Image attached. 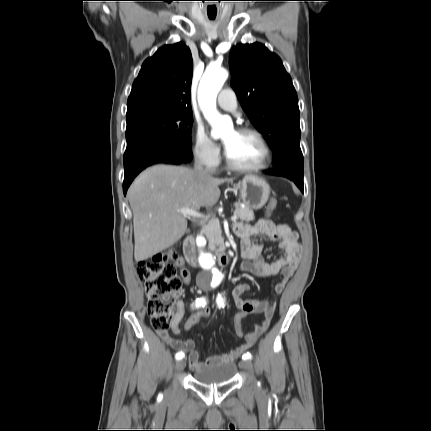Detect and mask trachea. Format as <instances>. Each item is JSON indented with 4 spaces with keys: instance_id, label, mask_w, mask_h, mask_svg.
<instances>
[{
    "instance_id": "1",
    "label": "trachea",
    "mask_w": 431,
    "mask_h": 431,
    "mask_svg": "<svg viewBox=\"0 0 431 431\" xmlns=\"http://www.w3.org/2000/svg\"><path fill=\"white\" fill-rule=\"evenodd\" d=\"M210 19H214V17H210Z\"/></svg>"
}]
</instances>
